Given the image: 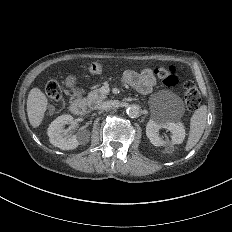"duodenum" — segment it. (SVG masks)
<instances>
[{
	"label": "duodenum",
	"mask_w": 232,
	"mask_h": 232,
	"mask_svg": "<svg viewBox=\"0 0 232 232\" xmlns=\"http://www.w3.org/2000/svg\"><path fill=\"white\" fill-rule=\"evenodd\" d=\"M69 109L72 114L77 116L81 115L84 112V104L78 91H73Z\"/></svg>",
	"instance_id": "duodenum-1"
}]
</instances>
